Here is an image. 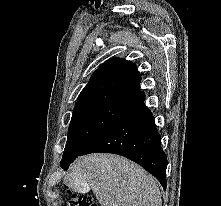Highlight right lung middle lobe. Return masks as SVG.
<instances>
[{
	"mask_svg": "<svg viewBox=\"0 0 221 206\" xmlns=\"http://www.w3.org/2000/svg\"><path fill=\"white\" fill-rule=\"evenodd\" d=\"M126 109L108 105H95L74 109L61 165L76 159Z\"/></svg>",
	"mask_w": 221,
	"mask_h": 206,
	"instance_id": "right-lung-middle-lobe-1",
	"label": "right lung middle lobe"
}]
</instances>
